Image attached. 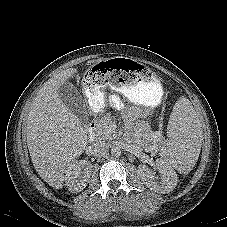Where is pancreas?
Listing matches in <instances>:
<instances>
[{
	"mask_svg": "<svg viewBox=\"0 0 227 227\" xmlns=\"http://www.w3.org/2000/svg\"><path fill=\"white\" fill-rule=\"evenodd\" d=\"M111 124H112V121L110 116H104L103 118L100 119L96 130V135L98 136V138L111 140L115 137L116 132L111 127ZM136 142L141 146H146L145 143L139 140H136ZM146 149L151 150L152 146H146Z\"/></svg>",
	"mask_w": 227,
	"mask_h": 227,
	"instance_id": "1",
	"label": "pancreas"
}]
</instances>
